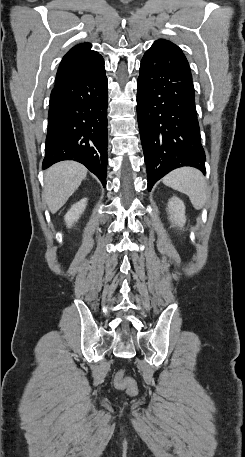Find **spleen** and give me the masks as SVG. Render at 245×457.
<instances>
[{
  "mask_svg": "<svg viewBox=\"0 0 245 457\" xmlns=\"http://www.w3.org/2000/svg\"><path fill=\"white\" fill-rule=\"evenodd\" d=\"M163 182L175 190L188 194L194 208H203L207 198V184L205 176L198 168L181 166L166 174Z\"/></svg>",
  "mask_w": 245,
  "mask_h": 457,
  "instance_id": "3e777b00",
  "label": "spleen"
}]
</instances>
